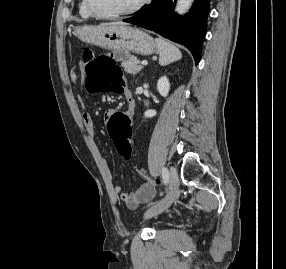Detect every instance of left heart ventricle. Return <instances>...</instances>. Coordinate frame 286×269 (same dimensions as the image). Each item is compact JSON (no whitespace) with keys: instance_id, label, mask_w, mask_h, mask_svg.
I'll use <instances>...</instances> for the list:
<instances>
[{"instance_id":"b2bd125f","label":"left heart ventricle","mask_w":286,"mask_h":269,"mask_svg":"<svg viewBox=\"0 0 286 269\" xmlns=\"http://www.w3.org/2000/svg\"><path fill=\"white\" fill-rule=\"evenodd\" d=\"M140 0H91L92 6L98 13L115 14L128 10Z\"/></svg>"}]
</instances>
